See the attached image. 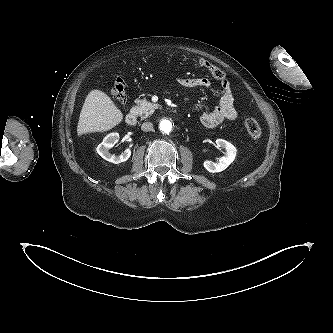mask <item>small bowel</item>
<instances>
[{
    "label": "small bowel",
    "mask_w": 333,
    "mask_h": 333,
    "mask_svg": "<svg viewBox=\"0 0 333 333\" xmlns=\"http://www.w3.org/2000/svg\"><path fill=\"white\" fill-rule=\"evenodd\" d=\"M182 86L187 88H207L214 90L211 82L206 78L182 76L179 78ZM220 95L219 103L211 110L205 111L200 120L207 127H215L224 120H235L237 118V109L235 106V98L227 80L222 82V90L218 92Z\"/></svg>",
    "instance_id": "1"
}]
</instances>
